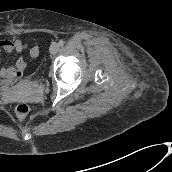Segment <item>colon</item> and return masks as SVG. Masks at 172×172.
<instances>
[{
    "mask_svg": "<svg viewBox=\"0 0 172 172\" xmlns=\"http://www.w3.org/2000/svg\"><path fill=\"white\" fill-rule=\"evenodd\" d=\"M15 112L20 118H24L29 114L30 108L27 104L20 103L16 106Z\"/></svg>",
    "mask_w": 172,
    "mask_h": 172,
    "instance_id": "5ec220e1",
    "label": "colon"
}]
</instances>
